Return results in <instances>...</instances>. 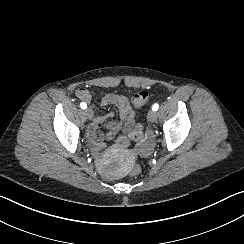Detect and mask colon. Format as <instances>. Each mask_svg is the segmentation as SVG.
Instances as JSON below:
<instances>
[{
    "label": "colon",
    "instance_id": "5ec220e1",
    "mask_svg": "<svg viewBox=\"0 0 244 244\" xmlns=\"http://www.w3.org/2000/svg\"><path fill=\"white\" fill-rule=\"evenodd\" d=\"M150 102V93L147 91L136 92L132 95V105L135 108H140L145 106ZM143 138V130L139 125H135L131 131V139L133 141H138ZM115 145L118 148H122L123 150H128L131 147V142L128 139H124L123 137H118L115 140ZM131 173L134 176H139L142 173V168L139 165H134L131 168Z\"/></svg>",
    "mask_w": 244,
    "mask_h": 244
}]
</instances>
